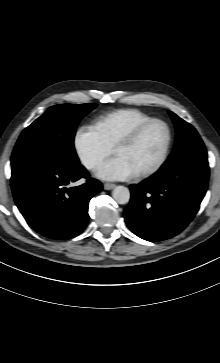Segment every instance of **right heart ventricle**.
<instances>
[{
    "label": "right heart ventricle",
    "mask_w": 220,
    "mask_h": 363,
    "mask_svg": "<svg viewBox=\"0 0 220 363\" xmlns=\"http://www.w3.org/2000/svg\"><path fill=\"white\" fill-rule=\"evenodd\" d=\"M151 118L150 115L138 109H119L98 117L95 120V128L104 141L112 147L121 136Z\"/></svg>",
    "instance_id": "e07e8e85"
}]
</instances>
